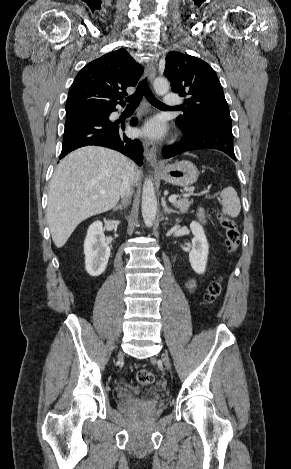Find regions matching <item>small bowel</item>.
<instances>
[{"mask_svg":"<svg viewBox=\"0 0 291 469\" xmlns=\"http://www.w3.org/2000/svg\"><path fill=\"white\" fill-rule=\"evenodd\" d=\"M199 218L204 220V215L202 212L199 213ZM185 285L187 287L188 290H193L195 288V281L191 278L187 279L186 282H185Z\"/></svg>","mask_w":291,"mask_h":469,"instance_id":"obj_1","label":"small bowel"}]
</instances>
